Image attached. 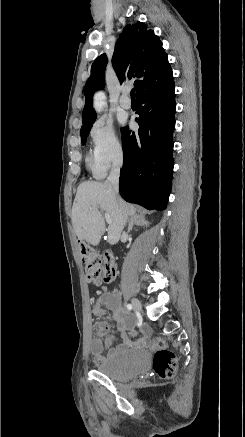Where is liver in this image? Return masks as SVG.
I'll return each mask as SVG.
<instances>
[{"label":"liver","instance_id":"liver-1","mask_svg":"<svg viewBox=\"0 0 245 437\" xmlns=\"http://www.w3.org/2000/svg\"><path fill=\"white\" fill-rule=\"evenodd\" d=\"M102 212L109 214L111 218L107 229L108 242L116 244L129 216L136 215L135 207L114 194L107 181L80 184L71 212L73 228L79 240H85L94 246L99 244L105 233Z\"/></svg>","mask_w":245,"mask_h":437}]
</instances>
